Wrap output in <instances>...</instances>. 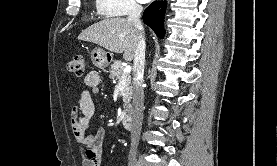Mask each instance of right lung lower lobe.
I'll use <instances>...</instances> for the list:
<instances>
[{"instance_id":"obj_1","label":"right lung lower lobe","mask_w":277,"mask_h":166,"mask_svg":"<svg viewBox=\"0 0 277 166\" xmlns=\"http://www.w3.org/2000/svg\"><path fill=\"white\" fill-rule=\"evenodd\" d=\"M166 9V1L153 2L143 14V21L151 27L159 38H164V14Z\"/></svg>"}]
</instances>
